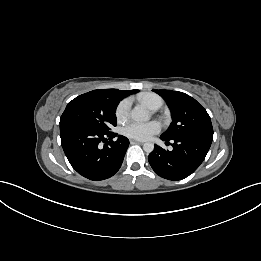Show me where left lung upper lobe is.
<instances>
[{"label": "left lung upper lobe", "mask_w": 261, "mask_h": 261, "mask_svg": "<svg viewBox=\"0 0 261 261\" xmlns=\"http://www.w3.org/2000/svg\"><path fill=\"white\" fill-rule=\"evenodd\" d=\"M167 103L172 123L161 135L167 140L183 136L213 137V127L207 111L191 96L178 91L153 90Z\"/></svg>", "instance_id": "1"}]
</instances>
